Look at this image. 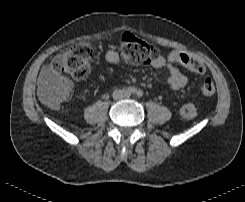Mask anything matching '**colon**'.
I'll list each match as a JSON object with an SVG mask.
<instances>
[{
	"label": "colon",
	"instance_id": "1",
	"mask_svg": "<svg viewBox=\"0 0 245 202\" xmlns=\"http://www.w3.org/2000/svg\"><path fill=\"white\" fill-rule=\"evenodd\" d=\"M120 46L122 58L127 63L134 65L152 62L159 55V50L155 45L133 35L125 36L120 41ZM93 56V45L79 43L54 56L51 67L57 74L70 77L73 80H81L90 72ZM176 60L194 73L201 74L205 70L203 62L187 52H178ZM201 92L204 96L214 94L215 85L210 78L204 79ZM40 95L43 102L51 108L59 107L69 98L68 92L59 85L46 87ZM181 115L185 119L195 118L197 115L196 107L191 103L184 104L181 108Z\"/></svg>",
	"mask_w": 245,
	"mask_h": 202
}]
</instances>
